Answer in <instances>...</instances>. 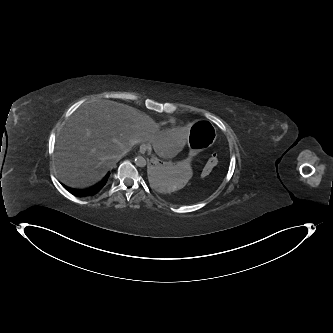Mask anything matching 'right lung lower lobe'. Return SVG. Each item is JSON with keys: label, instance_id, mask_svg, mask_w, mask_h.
<instances>
[{"label": "right lung lower lobe", "instance_id": "98d812e1", "mask_svg": "<svg viewBox=\"0 0 333 333\" xmlns=\"http://www.w3.org/2000/svg\"><path fill=\"white\" fill-rule=\"evenodd\" d=\"M109 175H110V173H108L100 183H98L97 185H95L91 188L84 189V190H76V189L67 188V190L69 192H71L73 195L79 196V197L93 196V195L97 194L105 186Z\"/></svg>", "mask_w": 333, "mask_h": 333}]
</instances>
